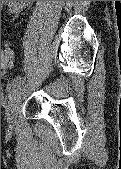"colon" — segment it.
Returning a JSON list of instances; mask_svg holds the SVG:
<instances>
[{
  "instance_id": "colon-1",
  "label": "colon",
  "mask_w": 121,
  "mask_h": 169,
  "mask_svg": "<svg viewBox=\"0 0 121 169\" xmlns=\"http://www.w3.org/2000/svg\"><path fill=\"white\" fill-rule=\"evenodd\" d=\"M14 62V52L9 44H6L1 52V71L11 67Z\"/></svg>"
}]
</instances>
